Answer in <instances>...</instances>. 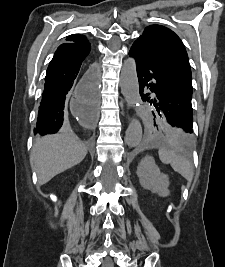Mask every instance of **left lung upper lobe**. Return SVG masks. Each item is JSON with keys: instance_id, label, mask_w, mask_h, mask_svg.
<instances>
[{"instance_id": "1", "label": "left lung upper lobe", "mask_w": 225, "mask_h": 267, "mask_svg": "<svg viewBox=\"0 0 225 267\" xmlns=\"http://www.w3.org/2000/svg\"><path fill=\"white\" fill-rule=\"evenodd\" d=\"M156 52L180 56L188 61V55L180 38L170 29L160 26H148L139 38ZM157 126L161 131L182 146H190L192 134H187L184 128L178 127L171 121L158 118Z\"/></svg>"}]
</instances>
